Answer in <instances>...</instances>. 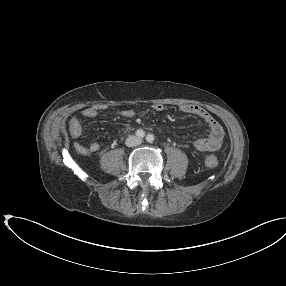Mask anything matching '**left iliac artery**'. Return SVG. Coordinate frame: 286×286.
Returning a JSON list of instances; mask_svg holds the SVG:
<instances>
[{
    "instance_id": "left-iliac-artery-1",
    "label": "left iliac artery",
    "mask_w": 286,
    "mask_h": 286,
    "mask_svg": "<svg viewBox=\"0 0 286 286\" xmlns=\"http://www.w3.org/2000/svg\"><path fill=\"white\" fill-rule=\"evenodd\" d=\"M154 139H155V137H154L153 134H148V135L146 136V140H147V142H149V143H152V142L154 141Z\"/></svg>"
}]
</instances>
